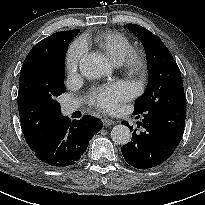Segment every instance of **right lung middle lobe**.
Returning <instances> with one entry per match:
<instances>
[{"instance_id":"obj_1","label":"right lung middle lobe","mask_w":205,"mask_h":205,"mask_svg":"<svg viewBox=\"0 0 205 205\" xmlns=\"http://www.w3.org/2000/svg\"><path fill=\"white\" fill-rule=\"evenodd\" d=\"M68 45H65L60 54V66L56 71V89H57V97L61 95L63 92H65V86H64V77H65V66H64V57L67 50ZM56 107L60 109L59 103L56 101Z\"/></svg>"}]
</instances>
